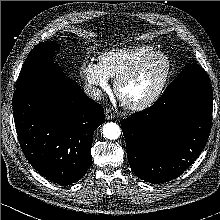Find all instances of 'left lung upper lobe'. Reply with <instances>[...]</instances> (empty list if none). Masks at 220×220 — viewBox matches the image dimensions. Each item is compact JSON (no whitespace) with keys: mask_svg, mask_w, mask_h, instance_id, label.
<instances>
[{"mask_svg":"<svg viewBox=\"0 0 220 220\" xmlns=\"http://www.w3.org/2000/svg\"><path fill=\"white\" fill-rule=\"evenodd\" d=\"M196 82H210V79L202 67L196 63H187L178 77L168 85L165 92L178 91L184 86Z\"/></svg>","mask_w":220,"mask_h":220,"instance_id":"left-lung-upper-lobe-1","label":"left lung upper lobe"}]
</instances>
